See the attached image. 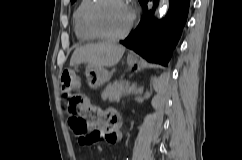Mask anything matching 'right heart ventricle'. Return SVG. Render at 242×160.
Here are the masks:
<instances>
[{
	"instance_id": "obj_1",
	"label": "right heart ventricle",
	"mask_w": 242,
	"mask_h": 160,
	"mask_svg": "<svg viewBox=\"0 0 242 160\" xmlns=\"http://www.w3.org/2000/svg\"><path fill=\"white\" fill-rule=\"evenodd\" d=\"M92 0H80L73 13V26L77 39L81 42H87L97 39L86 26L85 13Z\"/></svg>"
}]
</instances>
